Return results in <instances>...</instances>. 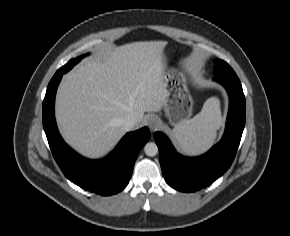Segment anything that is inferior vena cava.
Instances as JSON below:
<instances>
[{
	"label": "inferior vena cava",
	"mask_w": 290,
	"mask_h": 236,
	"mask_svg": "<svg viewBox=\"0 0 290 236\" xmlns=\"http://www.w3.org/2000/svg\"><path fill=\"white\" fill-rule=\"evenodd\" d=\"M136 124H137V118L134 115L128 114L125 117H123L121 120V126L123 127L125 131L132 130Z\"/></svg>",
	"instance_id": "obj_1"
}]
</instances>
